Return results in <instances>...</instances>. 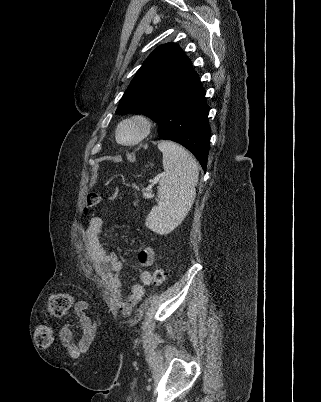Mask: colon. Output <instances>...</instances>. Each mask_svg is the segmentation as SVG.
Segmentation results:
<instances>
[{
  "instance_id": "5ec220e1",
  "label": "colon",
  "mask_w": 321,
  "mask_h": 402,
  "mask_svg": "<svg viewBox=\"0 0 321 402\" xmlns=\"http://www.w3.org/2000/svg\"><path fill=\"white\" fill-rule=\"evenodd\" d=\"M102 200L99 194L93 193L87 197L85 211L95 208ZM152 280L156 285H162L166 280V273L163 268L158 267L153 271ZM74 297L68 292L53 294L49 298L48 312L52 317L64 316L73 306ZM53 341L52 329L40 324L35 329V342L39 347H48Z\"/></svg>"
}]
</instances>
